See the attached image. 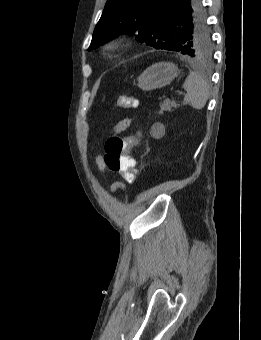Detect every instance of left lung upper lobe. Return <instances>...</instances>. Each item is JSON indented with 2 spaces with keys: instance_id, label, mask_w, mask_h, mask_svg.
<instances>
[{
  "instance_id": "obj_1",
  "label": "left lung upper lobe",
  "mask_w": 261,
  "mask_h": 340,
  "mask_svg": "<svg viewBox=\"0 0 261 340\" xmlns=\"http://www.w3.org/2000/svg\"><path fill=\"white\" fill-rule=\"evenodd\" d=\"M165 0H108L97 23L89 51L121 35H134L156 49L203 58L212 53V40L202 5L192 17L164 20L160 8Z\"/></svg>"
}]
</instances>
